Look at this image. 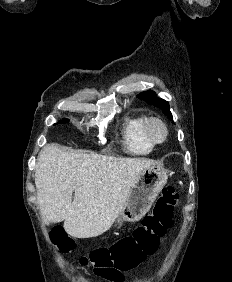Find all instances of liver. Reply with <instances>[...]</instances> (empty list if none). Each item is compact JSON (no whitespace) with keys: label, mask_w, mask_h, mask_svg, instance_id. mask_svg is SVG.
<instances>
[{"label":"liver","mask_w":232,"mask_h":282,"mask_svg":"<svg viewBox=\"0 0 232 282\" xmlns=\"http://www.w3.org/2000/svg\"><path fill=\"white\" fill-rule=\"evenodd\" d=\"M152 165L151 160L68 152L48 144L35 169L44 222L64 221L65 231L75 238L102 235L120 214L140 173Z\"/></svg>","instance_id":"1"}]
</instances>
